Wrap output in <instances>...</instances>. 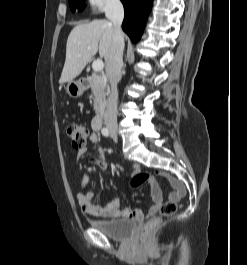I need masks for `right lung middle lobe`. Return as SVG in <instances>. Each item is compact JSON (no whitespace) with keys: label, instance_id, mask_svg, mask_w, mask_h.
I'll return each mask as SVG.
<instances>
[{"label":"right lung middle lobe","instance_id":"right-lung-middle-lobe-1","mask_svg":"<svg viewBox=\"0 0 247 265\" xmlns=\"http://www.w3.org/2000/svg\"><path fill=\"white\" fill-rule=\"evenodd\" d=\"M70 8L75 12L76 8L82 11L85 8L84 0H69Z\"/></svg>","mask_w":247,"mask_h":265}]
</instances>
